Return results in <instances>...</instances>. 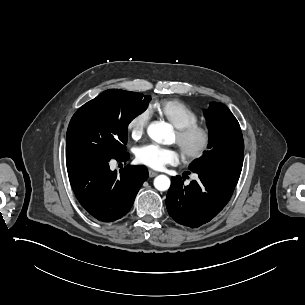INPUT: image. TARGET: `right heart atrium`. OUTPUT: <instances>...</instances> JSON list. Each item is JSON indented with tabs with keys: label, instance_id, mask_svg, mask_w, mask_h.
Wrapping results in <instances>:
<instances>
[{
	"label": "right heart atrium",
	"instance_id": "obj_1",
	"mask_svg": "<svg viewBox=\"0 0 305 305\" xmlns=\"http://www.w3.org/2000/svg\"><path fill=\"white\" fill-rule=\"evenodd\" d=\"M149 118V109L140 110L130 118L127 129L133 139H138L142 136Z\"/></svg>",
	"mask_w": 305,
	"mask_h": 305
}]
</instances>
